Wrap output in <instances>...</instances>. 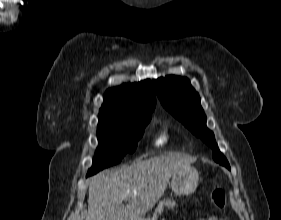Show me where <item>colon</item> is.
Listing matches in <instances>:
<instances>
[{
    "mask_svg": "<svg viewBox=\"0 0 281 220\" xmlns=\"http://www.w3.org/2000/svg\"><path fill=\"white\" fill-rule=\"evenodd\" d=\"M210 201L217 209H223L226 203V197L223 189L215 186L210 193Z\"/></svg>",
    "mask_w": 281,
    "mask_h": 220,
    "instance_id": "obj_1",
    "label": "colon"
}]
</instances>
